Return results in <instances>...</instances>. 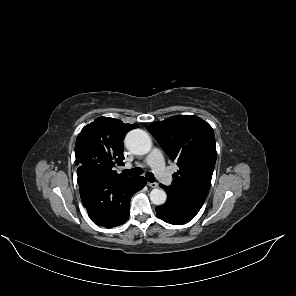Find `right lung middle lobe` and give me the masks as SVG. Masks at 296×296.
Segmentation results:
<instances>
[{
    "instance_id": "1",
    "label": "right lung middle lobe",
    "mask_w": 296,
    "mask_h": 296,
    "mask_svg": "<svg viewBox=\"0 0 296 296\" xmlns=\"http://www.w3.org/2000/svg\"><path fill=\"white\" fill-rule=\"evenodd\" d=\"M87 165L90 167V163H87Z\"/></svg>"
}]
</instances>
